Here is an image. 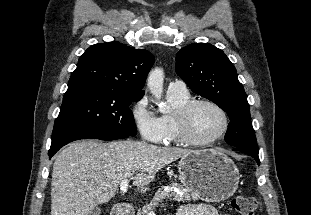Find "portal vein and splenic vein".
<instances>
[{"label":"portal vein and splenic vein","mask_w":311,"mask_h":215,"mask_svg":"<svg viewBox=\"0 0 311 215\" xmlns=\"http://www.w3.org/2000/svg\"><path fill=\"white\" fill-rule=\"evenodd\" d=\"M128 186H129V180L128 179H125V180L121 181V183H120V190H121V192L123 194L127 192ZM148 215H155V213L153 211H150L148 213Z\"/></svg>","instance_id":"obj_1"}]
</instances>
